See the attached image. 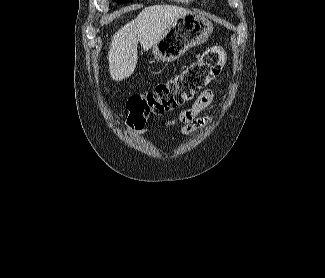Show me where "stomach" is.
<instances>
[{
    "instance_id": "obj_1",
    "label": "stomach",
    "mask_w": 325,
    "mask_h": 278,
    "mask_svg": "<svg viewBox=\"0 0 325 278\" xmlns=\"http://www.w3.org/2000/svg\"><path fill=\"white\" fill-rule=\"evenodd\" d=\"M212 32L213 25L206 17L197 13L183 15L169 26L153 46L152 54L158 61H174L190 48L207 41Z\"/></svg>"
}]
</instances>
